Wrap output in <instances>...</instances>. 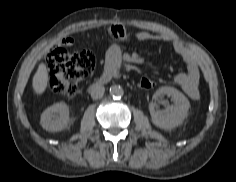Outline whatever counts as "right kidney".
I'll return each mask as SVG.
<instances>
[{"instance_id": "1", "label": "right kidney", "mask_w": 236, "mask_h": 182, "mask_svg": "<svg viewBox=\"0 0 236 182\" xmlns=\"http://www.w3.org/2000/svg\"><path fill=\"white\" fill-rule=\"evenodd\" d=\"M69 123V107L65 103H56L48 107L41 115L40 124L46 131L58 132Z\"/></svg>"}]
</instances>
